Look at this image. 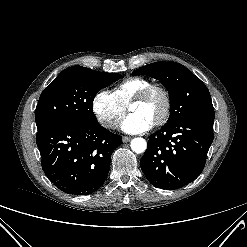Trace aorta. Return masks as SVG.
<instances>
[{
	"label": "aorta",
	"instance_id": "obj_1",
	"mask_svg": "<svg viewBox=\"0 0 247 247\" xmlns=\"http://www.w3.org/2000/svg\"><path fill=\"white\" fill-rule=\"evenodd\" d=\"M147 148V143L145 141V139L141 138V137H137L134 138L131 141V149L135 152V153H143Z\"/></svg>",
	"mask_w": 247,
	"mask_h": 247
}]
</instances>
